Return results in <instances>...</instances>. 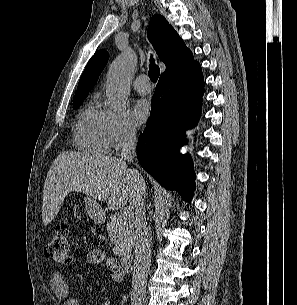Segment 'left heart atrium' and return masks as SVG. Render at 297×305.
I'll return each instance as SVG.
<instances>
[{"label":"left heart atrium","mask_w":297,"mask_h":305,"mask_svg":"<svg viewBox=\"0 0 297 305\" xmlns=\"http://www.w3.org/2000/svg\"><path fill=\"white\" fill-rule=\"evenodd\" d=\"M150 114H151V105L145 99L138 100L132 109V115L134 121L138 125L144 124L150 117Z\"/></svg>","instance_id":"obj_1"}]
</instances>
